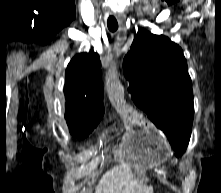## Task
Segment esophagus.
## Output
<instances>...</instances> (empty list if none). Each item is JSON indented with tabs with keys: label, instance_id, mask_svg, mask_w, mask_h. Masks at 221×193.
I'll return each instance as SVG.
<instances>
[{
	"label": "esophagus",
	"instance_id": "obj_1",
	"mask_svg": "<svg viewBox=\"0 0 221 193\" xmlns=\"http://www.w3.org/2000/svg\"><path fill=\"white\" fill-rule=\"evenodd\" d=\"M116 16H117V18H118L119 20H121V22H122V24H123V16L120 15V14H116Z\"/></svg>",
	"mask_w": 221,
	"mask_h": 193
}]
</instances>
